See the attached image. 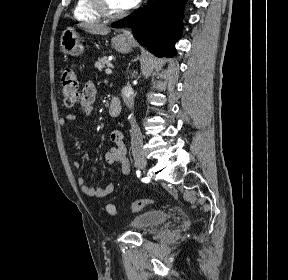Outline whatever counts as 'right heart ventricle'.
<instances>
[{"label": "right heart ventricle", "instance_id": "obj_1", "mask_svg": "<svg viewBox=\"0 0 288 280\" xmlns=\"http://www.w3.org/2000/svg\"><path fill=\"white\" fill-rule=\"evenodd\" d=\"M74 16L78 21L89 23L99 22L101 19L92 8L90 0H76Z\"/></svg>", "mask_w": 288, "mask_h": 280}]
</instances>
